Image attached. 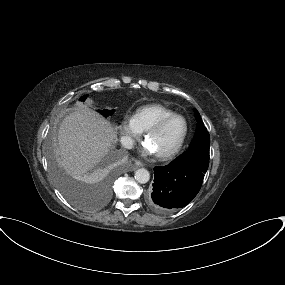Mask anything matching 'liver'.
Wrapping results in <instances>:
<instances>
[{
    "mask_svg": "<svg viewBox=\"0 0 285 285\" xmlns=\"http://www.w3.org/2000/svg\"><path fill=\"white\" fill-rule=\"evenodd\" d=\"M113 126L83 106L65 116L58 130L57 161L68 174L81 179L116 141Z\"/></svg>",
    "mask_w": 285,
    "mask_h": 285,
    "instance_id": "obj_1",
    "label": "liver"
}]
</instances>
